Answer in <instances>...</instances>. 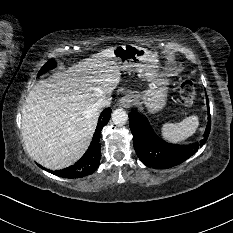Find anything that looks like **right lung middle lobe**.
I'll list each match as a JSON object with an SVG mask.
<instances>
[{
	"label": "right lung middle lobe",
	"mask_w": 233,
	"mask_h": 233,
	"mask_svg": "<svg viewBox=\"0 0 233 233\" xmlns=\"http://www.w3.org/2000/svg\"><path fill=\"white\" fill-rule=\"evenodd\" d=\"M56 66V62L54 60H50L48 61L39 71L38 76H40L41 74L45 73L46 71L54 68Z\"/></svg>",
	"instance_id": "1"
}]
</instances>
